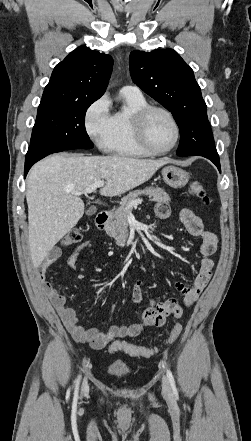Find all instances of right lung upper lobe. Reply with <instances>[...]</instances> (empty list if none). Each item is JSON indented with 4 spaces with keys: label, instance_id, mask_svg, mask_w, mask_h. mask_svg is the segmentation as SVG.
Here are the masks:
<instances>
[{
    "label": "right lung upper lobe",
    "instance_id": "right-lung-upper-lobe-1",
    "mask_svg": "<svg viewBox=\"0 0 251 441\" xmlns=\"http://www.w3.org/2000/svg\"><path fill=\"white\" fill-rule=\"evenodd\" d=\"M113 59L80 46L57 64L41 102H69L100 98L108 85Z\"/></svg>",
    "mask_w": 251,
    "mask_h": 441
}]
</instances>
